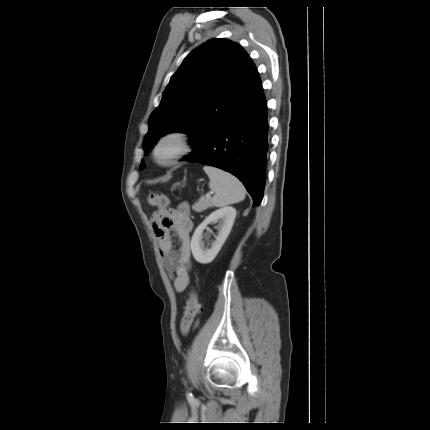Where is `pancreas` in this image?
Masks as SVG:
<instances>
[{
	"mask_svg": "<svg viewBox=\"0 0 430 430\" xmlns=\"http://www.w3.org/2000/svg\"><path fill=\"white\" fill-rule=\"evenodd\" d=\"M211 206L210 204V199L209 198H201L198 202H196L193 206L192 209L196 212H202L206 209H208Z\"/></svg>",
	"mask_w": 430,
	"mask_h": 430,
	"instance_id": "cf45deb5",
	"label": "pancreas"
}]
</instances>
